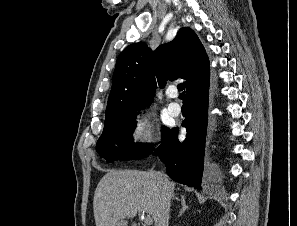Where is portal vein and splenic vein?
<instances>
[{"label":"portal vein and splenic vein","mask_w":297,"mask_h":226,"mask_svg":"<svg viewBox=\"0 0 297 226\" xmlns=\"http://www.w3.org/2000/svg\"><path fill=\"white\" fill-rule=\"evenodd\" d=\"M141 217L144 219V222L146 224H151L153 221H152V218L150 217V215H145L144 212H142V215Z\"/></svg>","instance_id":"18ae733b"}]
</instances>
